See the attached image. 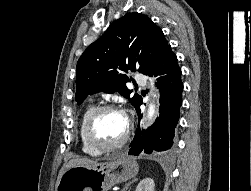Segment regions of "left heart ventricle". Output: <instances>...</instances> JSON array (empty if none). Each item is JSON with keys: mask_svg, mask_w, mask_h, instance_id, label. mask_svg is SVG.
<instances>
[{"mask_svg": "<svg viewBox=\"0 0 251 191\" xmlns=\"http://www.w3.org/2000/svg\"><path fill=\"white\" fill-rule=\"evenodd\" d=\"M125 131V121L117 112H104L97 120L94 135L104 145L117 143Z\"/></svg>", "mask_w": 251, "mask_h": 191, "instance_id": "1", "label": "left heart ventricle"}]
</instances>
